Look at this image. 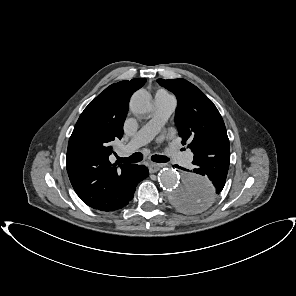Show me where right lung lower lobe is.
Returning <instances> with one entry per match:
<instances>
[{"label":"right lung lower lobe","mask_w":296,"mask_h":296,"mask_svg":"<svg viewBox=\"0 0 296 296\" xmlns=\"http://www.w3.org/2000/svg\"><path fill=\"white\" fill-rule=\"evenodd\" d=\"M148 169L144 165L132 164L126 178V192L115 210L123 208L132 200L137 184L148 177Z\"/></svg>","instance_id":"obj_1"}]
</instances>
